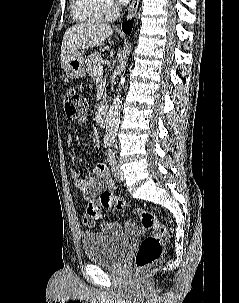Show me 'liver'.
Returning <instances> with one entry per match:
<instances>
[{
    "label": "liver",
    "mask_w": 239,
    "mask_h": 303,
    "mask_svg": "<svg viewBox=\"0 0 239 303\" xmlns=\"http://www.w3.org/2000/svg\"><path fill=\"white\" fill-rule=\"evenodd\" d=\"M113 33L108 24L100 22H87L76 24L68 28L63 36L61 46V65L65 60L79 49L98 47Z\"/></svg>",
    "instance_id": "1"
}]
</instances>
